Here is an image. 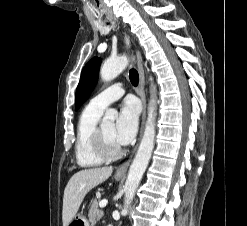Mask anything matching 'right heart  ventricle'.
Here are the masks:
<instances>
[{"mask_svg":"<svg viewBox=\"0 0 247 226\" xmlns=\"http://www.w3.org/2000/svg\"><path fill=\"white\" fill-rule=\"evenodd\" d=\"M102 111L88 105L81 113L75 142V156L79 166L84 168L100 165L101 160L92 147L93 133L98 126Z\"/></svg>","mask_w":247,"mask_h":226,"instance_id":"obj_1","label":"right heart ventricle"}]
</instances>
